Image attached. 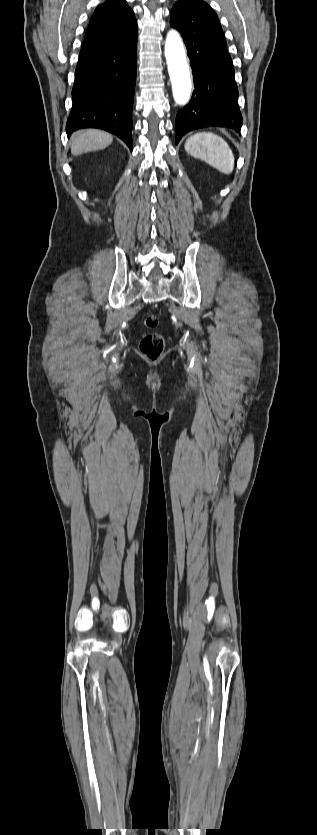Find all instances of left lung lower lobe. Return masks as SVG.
<instances>
[{"instance_id":"left-lung-lower-lobe-1","label":"left lung lower lobe","mask_w":317,"mask_h":835,"mask_svg":"<svg viewBox=\"0 0 317 835\" xmlns=\"http://www.w3.org/2000/svg\"><path fill=\"white\" fill-rule=\"evenodd\" d=\"M170 24L187 47L195 90L176 117V144L187 132L205 127L240 131L242 115L234 67L216 13L210 6L182 0L171 12Z\"/></svg>"}]
</instances>
